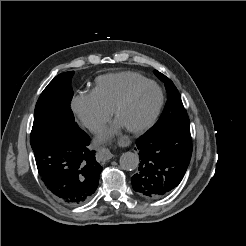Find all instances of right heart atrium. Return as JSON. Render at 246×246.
<instances>
[{
	"instance_id": "obj_1",
	"label": "right heart atrium",
	"mask_w": 246,
	"mask_h": 246,
	"mask_svg": "<svg viewBox=\"0 0 246 246\" xmlns=\"http://www.w3.org/2000/svg\"><path fill=\"white\" fill-rule=\"evenodd\" d=\"M71 109L77 120L87 129L98 132L111 116V111L102 107L92 92H79L74 96Z\"/></svg>"
}]
</instances>
